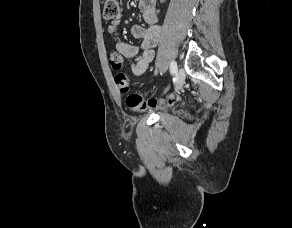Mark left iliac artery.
Segmentation results:
<instances>
[{"label": "left iliac artery", "mask_w": 292, "mask_h": 228, "mask_svg": "<svg viewBox=\"0 0 292 228\" xmlns=\"http://www.w3.org/2000/svg\"><path fill=\"white\" fill-rule=\"evenodd\" d=\"M170 72L172 75L177 73V63L174 60L170 63Z\"/></svg>", "instance_id": "obj_1"}]
</instances>
